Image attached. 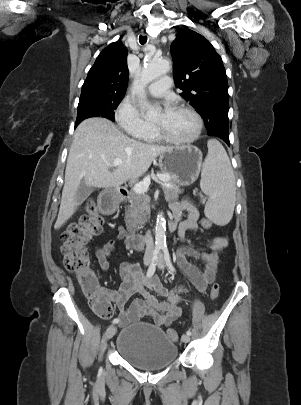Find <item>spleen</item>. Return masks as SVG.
Wrapping results in <instances>:
<instances>
[{"mask_svg": "<svg viewBox=\"0 0 301 405\" xmlns=\"http://www.w3.org/2000/svg\"><path fill=\"white\" fill-rule=\"evenodd\" d=\"M208 155L201 173V189L209 196L206 216L218 225L230 222L236 201L235 177L229 157L222 144L210 139Z\"/></svg>", "mask_w": 301, "mask_h": 405, "instance_id": "spleen-1", "label": "spleen"}]
</instances>
